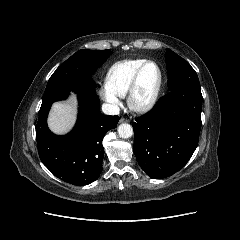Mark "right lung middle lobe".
Instances as JSON below:
<instances>
[{"mask_svg": "<svg viewBox=\"0 0 240 240\" xmlns=\"http://www.w3.org/2000/svg\"><path fill=\"white\" fill-rule=\"evenodd\" d=\"M110 55V50L82 49L63 62L50 77L42 101L73 91L95 92L91 74Z\"/></svg>", "mask_w": 240, "mask_h": 240, "instance_id": "dd1d6c3e", "label": "right lung middle lobe"}]
</instances>
